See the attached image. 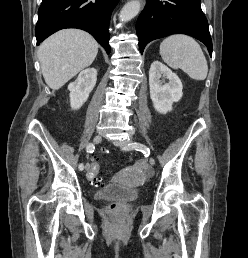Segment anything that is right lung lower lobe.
<instances>
[{"mask_svg":"<svg viewBox=\"0 0 248 258\" xmlns=\"http://www.w3.org/2000/svg\"><path fill=\"white\" fill-rule=\"evenodd\" d=\"M118 0H42L35 28L37 45L65 28L89 32L110 53L109 22Z\"/></svg>","mask_w":248,"mask_h":258,"instance_id":"right-lung-lower-lobe-1","label":"right lung lower lobe"}]
</instances>
